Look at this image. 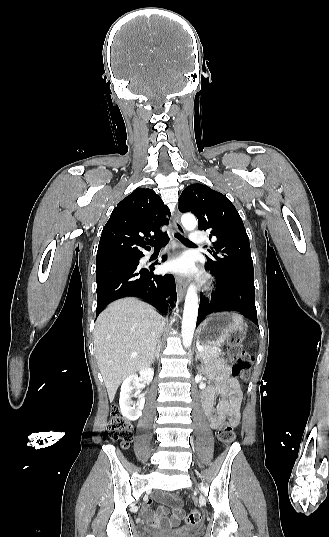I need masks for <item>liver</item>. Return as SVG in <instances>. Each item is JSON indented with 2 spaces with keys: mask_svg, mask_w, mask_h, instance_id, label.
Instances as JSON below:
<instances>
[{
  "mask_svg": "<svg viewBox=\"0 0 329 537\" xmlns=\"http://www.w3.org/2000/svg\"><path fill=\"white\" fill-rule=\"evenodd\" d=\"M161 326L156 310L133 297L111 303L98 316L95 357L111 402L123 379L152 363Z\"/></svg>",
  "mask_w": 329,
  "mask_h": 537,
  "instance_id": "1",
  "label": "liver"
}]
</instances>
